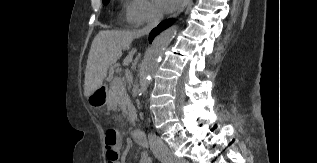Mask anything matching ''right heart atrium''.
Returning <instances> with one entry per match:
<instances>
[{"mask_svg":"<svg viewBox=\"0 0 317 163\" xmlns=\"http://www.w3.org/2000/svg\"><path fill=\"white\" fill-rule=\"evenodd\" d=\"M157 8L150 0H126L124 18L131 26H141L159 18Z\"/></svg>","mask_w":317,"mask_h":163,"instance_id":"1","label":"right heart atrium"}]
</instances>
